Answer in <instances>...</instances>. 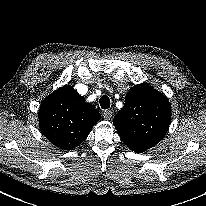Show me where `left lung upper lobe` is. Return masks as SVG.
Wrapping results in <instances>:
<instances>
[{"label": "left lung upper lobe", "instance_id": "1", "mask_svg": "<svg viewBox=\"0 0 206 206\" xmlns=\"http://www.w3.org/2000/svg\"><path fill=\"white\" fill-rule=\"evenodd\" d=\"M170 122L168 99L147 83L129 90L124 107L113 120L121 139L136 153L155 146L166 135Z\"/></svg>", "mask_w": 206, "mask_h": 206}]
</instances>
